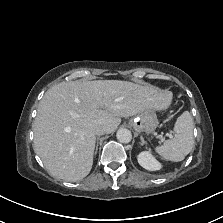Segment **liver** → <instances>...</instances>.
Wrapping results in <instances>:
<instances>
[{"label": "liver", "mask_w": 223, "mask_h": 223, "mask_svg": "<svg viewBox=\"0 0 223 223\" xmlns=\"http://www.w3.org/2000/svg\"><path fill=\"white\" fill-rule=\"evenodd\" d=\"M172 92L120 80L61 82L42 98L33 123L34 151L53 177L76 182L93 165L95 125L114 132L121 117L164 110Z\"/></svg>", "instance_id": "6515ba94"}]
</instances>
